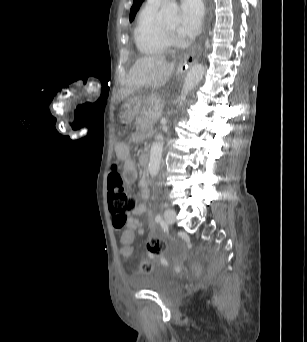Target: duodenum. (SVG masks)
I'll use <instances>...</instances> for the list:
<instances>
[{
	"instance_id": "1",
	"label": "duodenum",
	"mask_w": 307,
	"mask_h": 342,
	"mask_svg": "<svg viewBox=\"0 0 307 342\" xmlns=\"http://www.w3.org/2000/svg\"><path fill=\"white\" fill-rule=\"evenodd\" d=\"M150 161V156L148 154H143L140 157V163L142 166H147Z\"/></svg>"
}]
</instances>
